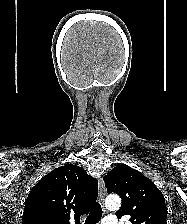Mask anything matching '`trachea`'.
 <instances>
[{
    "label": "trachea",
    "instance_id": "obj_1",
    "mask_svg": "<svg viewBox=\"0 0 187 224\" xmlns=\"http://www.w3.org/2000/svg\"><path fill=\"white\" fill-rule=\"evenodd\" d=\"M102 217V208L99 203H95L89 216L87 217L85 224H98Z\"/></svg>",
    "mask_w": 187,
    "mask_h": 224
}]
</instances>
